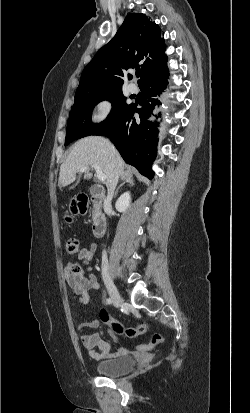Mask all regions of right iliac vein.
Segmentation results:
<instances>
[{
    "mask_svg": "<svg viewBox=\"0 0 250 413\" xmlns=\"http://www.w3.org/2000/svg\"><path fill=\"white\" fill-rule=\"evenodd\" d=\"M104 282H105L108 293H109L114 305L116 307H119L120 305H122L123 304V299L121 298V296H120L115 284L113 283V281L109 277L105 276L104 277Z\"/></svg>",
    "mask_w": 250,
    "mask_h": 413,
    "instance_id": "1",
    "label": "right iliac vein"
}]
</instances>
